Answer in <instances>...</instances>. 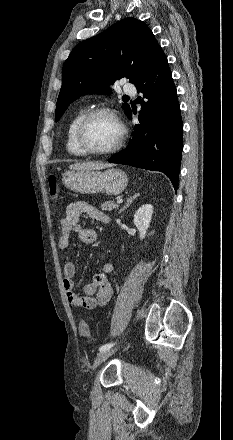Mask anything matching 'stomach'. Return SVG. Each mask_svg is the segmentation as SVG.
I'll use <instances>...</instances> for the list:
<instances>
[{
  "instance_id": "1",
  "label": "stomach",
  "mask_w": 233,
  "mask_h": 440,
  "mask_svg": "<svg viewBox=\"0 0 233 440\" xmlns=\"http://www.w3.org/2000/svg\"><path fill=\"white\" fill-rule=\"evenodd\" d=\"M62 183L82 194L119 195L128 184L126 174L117 168L103 172L94 169L70 170L62 175Z\"/></svg>"
}]
</instances>
